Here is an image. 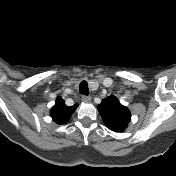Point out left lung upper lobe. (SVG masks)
Listing matches in <instances>:
<instances>
[{
  "label": "left lung upper lobe",
  "instance_id": "5c2ea615",
  "mask_svg": "<svg viewBox=\"0 0 176 176\" xmlns=\"http://www.w3.org/2000/svg\"><path fill=\"white\" fill-rule=\"evenodd\" d=\"M98 110L106 126L115 132L123 131L131 120L130 111L115 96L105 98L98 105Z\"/></svg>",
  "mask_w": 176,
  "mask_h": 176
}]
</instances>
